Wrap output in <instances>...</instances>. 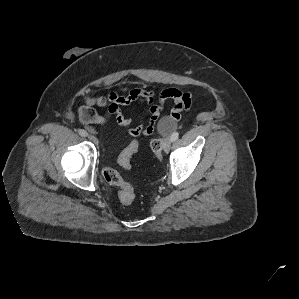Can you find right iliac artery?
<instances>
[{
	"label": "right iliac artery",
	"instance_id": "right-iliac-artery-1",
	"mask_svg": "<svg viewBox=\"0 0 299 299\" xmlns=\"http://www.w3.org/2000/svg\"><path fill=\"white\" fill-rule=\"evenodd\" d=\"M78 133H79L81 136H83V137H85V136L88 135V133H87L85 130H83V129H80V130L78 131Z\"/></svg>",
	"mask_w": 299,
	"mask_h": 299
}]
</instances>
